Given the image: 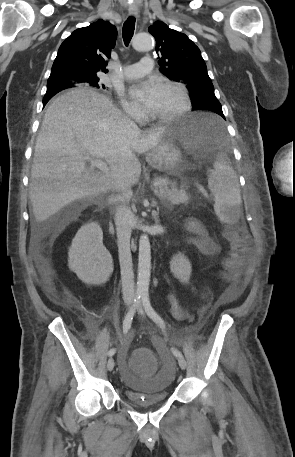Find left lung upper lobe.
<instances>
[{
  "label": "left lung upper lobe",
  "instance_id": "left-lung-upper-lobe-1",
  "mask_svg": "<svg viewBox=\"0 0 295 457\" xmlns=\"http://www.w3.org/2000/svg\"><path fill=\"white\" fill-rule=\"evenodd\" d=\"M155 37L160 71L170 80L186 85L195 110L205 104L221 105L199 48L183 33L156 21L149 27Z\"/></svg>",
  "mask_w": 295,
  "mask_h": 457
}]
</instances>
